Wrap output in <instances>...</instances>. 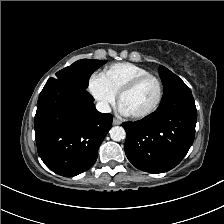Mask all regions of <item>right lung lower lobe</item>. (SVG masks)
I'll use <instances>...</instances> for the list:
<instances>
[{
  "instance_id": "1",
  "label": "right lung lower lobe",
  "mask_w": 224,
  "mask_h": 224,
  "mask_svg": "<svg viewBox=\"0 0 224 224\" xmlns=\"http://www.w3.org/2000/svg\"><path fill=\"white\" fill-rule=\"evenodd\" d=\"M93 101L86 90L64 83L47 82L39 95L34 124L37 150L44 164L59 175L76 176L97 159L113 117L98 112Z\"/></svg>"
}]
</instances>
